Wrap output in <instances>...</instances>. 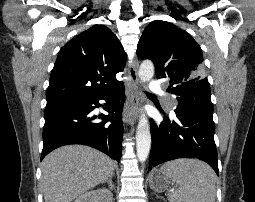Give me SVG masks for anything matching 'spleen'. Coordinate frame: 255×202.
Instances as JSON below:
<instances>
[{
	"label": "spleen",
	"mask_w": 255,
	"mask_h": 202,
	"mask_svg": "<svg viewBox=\"0 0 255 202\" xmlns=\"http://www.w3.org/2000/svg\"><path fill=\"white\" fill-rule=\"evenodd\" d=\"M160 172L178 185L168 195L170 202H215L216 175L206 163L179 159L163 164Z\"/></svg>",
	"instance_id": "spleen-1"
}]
</instances>
